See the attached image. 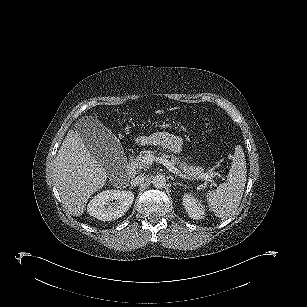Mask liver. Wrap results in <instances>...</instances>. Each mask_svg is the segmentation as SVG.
Masks as SVG:
<instances>
[{
	"instance_id": "liver-1",
	"label": "liver",
	"mask_w": 307,
	"mask_h": 307,
	"mask_svg": "<svg viewBox=\"0 0 307 307\" xmlns=\"http://www.w3.org/2000/svg\"><path fill=\"white\" fill-rule=\"evenodd\" d=\"M107 167L114 170L115 163ZM107 167L86 148L80 132H68L52 172L61 200L71 215H82L88 199L105 185Z\"/></svg>"
}]
</instances>
